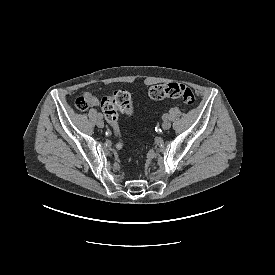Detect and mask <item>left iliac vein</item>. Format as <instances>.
I'll use <instances>...</instances> for the list:
<instances>
[{"instance_id": "1", "label": "left iliac vein", "mask_w": 275, "mask_h": 275, "mask_svg": "<svg viewBox=\"0 0 275 275\" xmlns=\"http://www.w3.org/2000/svg\"><path fill=\"white\" fill-rule=\"evenodd\" d=\"M170 127H171V122H170V121L165 120V121L162 123V128H163L164 130L169 129Z\"/></svg>"}]
</instances>
